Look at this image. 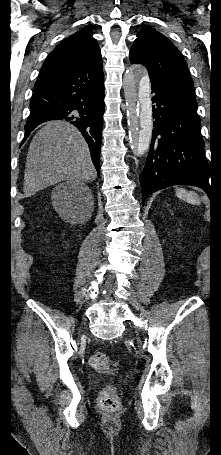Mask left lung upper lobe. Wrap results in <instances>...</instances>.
I'll use <instances>...</instances> for the list:
<instances>
[{
  "instance_id": "5c2ea615",
  "label": "left lung upper lobe",
  "mask_w": 221,
  "mask_h": 455,
  "mask_svg": "<svg viewBox=\"0 0 221 455\" xmlns=\"http://www.w3.org/2000/svg\"><path fill=\"white\" fill-rule=\"evenodd\" d=\"M129 58L131 63H141L147 68L151 84L159 85L197 105L187 64L178 49L163 34L151 27L142 28L131 47Z\"/></svg>"
}]
</instances>
